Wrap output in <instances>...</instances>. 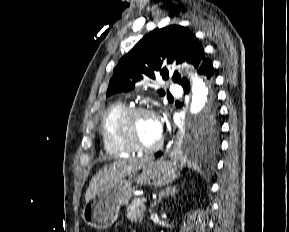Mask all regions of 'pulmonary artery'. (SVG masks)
Here are the masks:
<instances>
[{"mask_svg": "<svg viewBox=\"0 0 289 232\" xmlns=\"http://www.w3.org/2000/svg\"><path fill=\"white\" fill-rule=\"evenodd\" d=\"M170 92L175 95H180L182 93V87L179 84L172 83L170 85Z\"/></svg>", "mask_w": 289, "mask_h": 232, "instance_id": "pulmonary-artery-1", "label": "pulmonary artery"}]
</instances>
